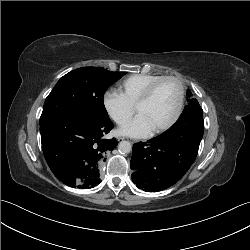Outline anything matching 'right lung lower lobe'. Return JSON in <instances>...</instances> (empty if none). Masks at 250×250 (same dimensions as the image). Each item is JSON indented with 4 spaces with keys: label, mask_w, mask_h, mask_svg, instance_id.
<instances>
[{
    "label": "right lung lower lobe",
    "mask_w": 250,
    "mask_h": 250,
    "mask_svg": "<svg viewBox=\"0 0 250 250\" xmlns=\"http://www.w3.org/2000/svg\"><path fill=\"white\" fill-rule=\"evenodd\" d=\"M113 127L109 117H62L41 124L43 153L54 175L69 187L98 185L105 157L117 145L115 138H102Z\"/></svg>",
    "instance_id": "98d812e1"
}]
</instances>
